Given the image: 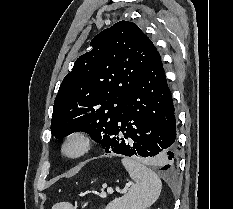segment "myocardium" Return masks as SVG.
<instances>
[{"mask_svg":"<svg viewBox=\"0 0 233 209\" xmlns=\"http://www.w3.org/2000/svg\"><path fill=\"white\" fill-rule=\"evenodd\" d=\"M92 145L91 136L83 130L69 132L63 138L60 145V152L66 159L74 160L85 155Z\"/></svg>","mask_w":233,"mask_h":209,"instance_id":"1","label":"myocardium"}]
</instances>
